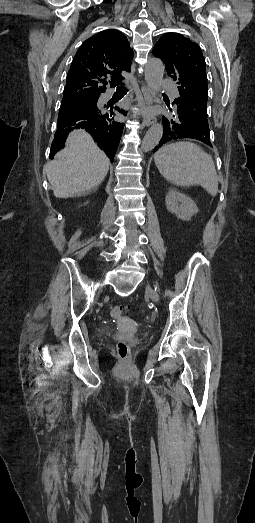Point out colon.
<instances>
[{"instance_id": "5ec220e1", "label": "colon", "mask_w": 255, "mask_h": 523, "mask_svg": "<svg viewBox=\"0 0 255 523\" xmlns=\"http://www.w3.org/2000/svg\"><path fill=\"white\" fill-rule=\"evenodd\" d=\"M128 306H114L111 309V314L115 318H120L128 312ZM117 353L121 358H126L129 354V347L126 342L119 341L117 343Z\"/></svg>"}]
</instances>
